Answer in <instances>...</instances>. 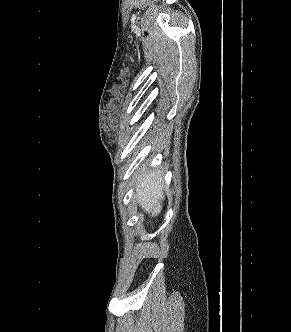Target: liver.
<instances>
[{
    "mask_svg": "<svg viewBox=\"0 0 291 332\" xmlns=\"http://www.w3.org/2000/svg\"><path fill=\"white\" fill-rule=\"evenodd\" d=\"M136 199L144 211L152 217L158 215L162 209L163 175L158 169L148 171L145 166L135 177Z\"/></svg>",
    "mask_w": 291,
    "mask_h": 332,
    "instance_id": "liver-1",
    "label": "liver"
}]
</instances>
